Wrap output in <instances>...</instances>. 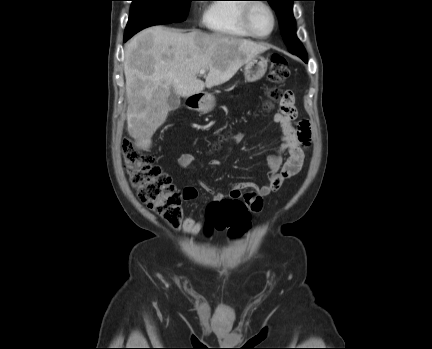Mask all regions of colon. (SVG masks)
<instances>
[{"instance_id": "5ec220e1", "label": "colon", "mask_w": 432, "mask_h": 349, "mask_svg": "<svg viewBox=\"0 0 432 349\" xmlns=\"http://www.w3.org/2000/svg\"><path fill=\"white\" fill-rule=\"evenodd\" d=\"M290 75L287 60L278 54L271 58L268 79L273 84L284 82ZM291 92H282L277 87L268 89L272 101H287ZM266 104V109L270 108ZM122 155L125 170L131 185L136 189L139 200L165 220L171 227L179 225L182 218L181 196L175 189L169 174L156 164L153 154L139 151L132 139L122 142ZM208 229L226 230L230 236L245 232L251 221V211L242 200L225 198L209 205Z\"/></svg>"}]
</instances>
